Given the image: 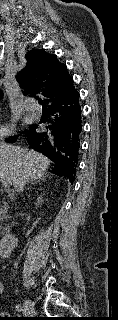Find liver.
Returning <instances> with one entry per match:
<instances>
[{
    "label": "liver",
    "instance_id": "liver-1",
    "mask_svg": "<svg viewBox=\"0 0 118 320\" xmlns=\"http://www.w3.org/2000/svg\"><path fill=\"white\" fill-rule=\"evenodd\" d=\"M50 163L41 153L0 143V179L10 180L18 193L29 181L43 177Z\"/></svg>",
    "mask_w": 118,
    "mask_h": 320
}]
</instances>
